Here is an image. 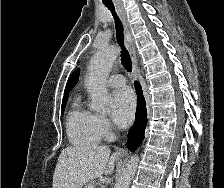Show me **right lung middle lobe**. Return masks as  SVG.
Instances as JSON below:
<instances>
[{
  "label": "right lung middle lobe",
  "mask_w": 224,
  "mask_h": 188,
  "mask_svg": "<svg viewBox=\"0 0 224 188\" xmlns=\"http://www.w3.org/2000/svg\"><path fill=\"white\" fill-rule=\"evenodd\" d=\"M66 102H67V101L62 102V109H61V112H62V113H63V111H64V109H65Z\"/></svg>",
  "instance_id": "1"
}]
</instances>
